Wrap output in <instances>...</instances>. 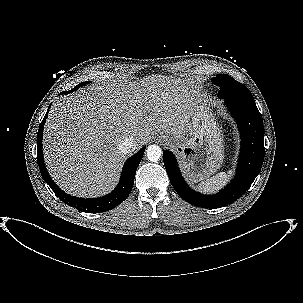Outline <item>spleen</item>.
I'll use <instances>...</instances> for the list:
<instances>
[{
	"mask_svg": "<svg viewBox=\"0 0 303 303\" xmlns=\"http://www.w3.org/2000/svg\"><path fill=\"white\" fill-rule=\"evenodd\" d=\"M232 173V170H229L227 173L220 172L199 183L198 189L207 193L215 192L225 185Z\"/></svg>",
	"mask_w": 303,
	"mask_h": 303,
	"instance_id": "obj_1",
	"label": "spleen"
}]
</instances>
